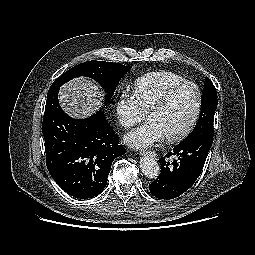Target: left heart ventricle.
I'll return each instance as SVG.
<instances>
[{"mask_svg":"<svg viewBox=\"0 0 255 255\" xmlns=\"http://www.w3.org/2000/svg\"><path fill=\"white\" fill-rule=\"evenodd\" d=\"M196 105V89L193 86H185L171 97L163 109L152 113L148 120L156 122L165 137L176 135L189 124Z\"/></svg>","mask_w":255,"mask_h":255,"instance_id":"1","label":"left heart ventricle"}]
</instances>
